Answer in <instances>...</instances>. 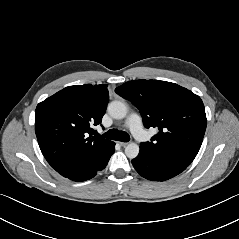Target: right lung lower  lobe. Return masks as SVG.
<instances>
[{"label": "right lung lower lobe", "mask_w": 239, "mask_h": 239, "mask_svg": "<svg viewBox=\"0 0 239 239\" xmlns=\"http://www.w3.org/2000/svg\"><path fill=\"white\" fill-rule=\"evenodd\" d=\"M115 151V143L112 142L106 153L96 162L80 167L72 168L67 174L63 175L73 181H84L94 177L97 172L104 169Z\"/></svg>", "instance_id": "98d812e1"}]
</instances>
